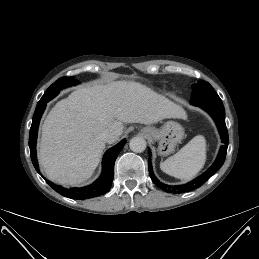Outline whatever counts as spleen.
I'll use <instances>...</instances> for the list:
<instances>
[{"instance_id":"1","label":"spleen","mask_w":259,"mask_h":259,"mask_svg":"<svg viewBox=\"0 0 259 259\" xmlns=\"http://www.w3.org/2000/svg\"><path fill=\"white\" fill-rule=\"evenodd\" d=\"M206 140L202 135L195 136L176 154L160 163L161 170L175 178H193L205 165Z\"/></svg>"}]
</instances>
